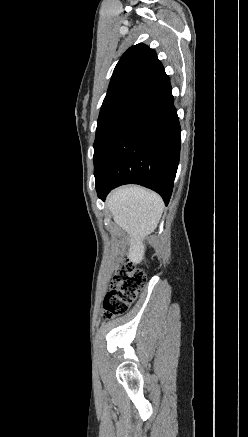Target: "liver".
<instances>
[{
  "mask_svg": "<svg viewBox=\"0 0 248 437\" xmlns=\"http://www.w3.org/2000/svg\"><path fill=\"white\" fill-rule=\"evenodd\" d=\"M115 223L129 235L128 259H144L143 240L154 232L163 212V201L155 192L139 186H125L112 191L106 200Z\"/></svg>",
  "mask_w": 248,
  "mask_h": 437,
  "instance_id": "1",
  "label": "liver"
}]
</instances>
